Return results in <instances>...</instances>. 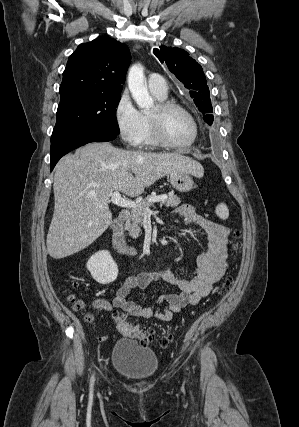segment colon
<instances>
[{"mask_svg":"<svg viewBox=\"0 0 299 427\" xmlns=\"http://www.w3.org/2000/svg\"><path fill=\"white\" fill-rule=\"evenodd\" d=\"M237 236V234H235ZM235 248V246H234ZM232 286V279L228 278L225 280L221 293L223 295H226ZM79 288V284L73 283L72 289L76 290ZM69 301L71 302L73 308L75 310H82L84 309L85 305L84 302L78 298L76 295L72 294L69 296ZM115 326L118 332L137 339L142 344H147L153 340V336L151 334H147L146 332L140 330L138 327L134 326L130 321H128L126 318L120 315L115 316ZM170 342L169 337H163L160 339L159 344L161 347H166Z\"/></svg>","mask_w":299,"mask_h":427,"instance_id":"1","label":"colon"}]
</instances>
